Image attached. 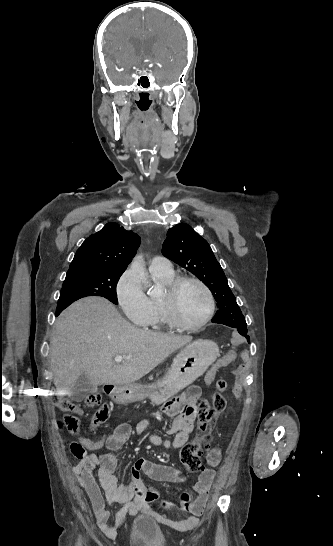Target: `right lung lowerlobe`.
Here are the masks:
<instances>
[{
  "mask_svg": "<svg viewBox=\"0 0 333 546\" xmlns=\"http://www.w3.org/2000/svg\"><path fill=\"white\" fill-rule=\"evenodd\" d=\"M62 310H56V316H58L61 313Z\"/></svg>",
  "mask_w": 333,
  "mask_h": 546,
  "instance_id": "98d812e1",
  "label": "right lung lower lobe"
}]
</instances>
